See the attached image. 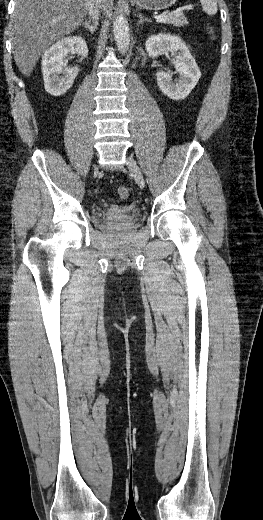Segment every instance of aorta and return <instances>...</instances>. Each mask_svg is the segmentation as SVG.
<instances>
[{"instance_id": "aorta-1", "label": "aorta", "mask_w": 263, "mask_h": 520, "mask_svg": "<svg viewBox=\"0 0 263 520\" xmlns=\"http://www.w3.org/2000/svg\"><path fill=\"white\" fill-rule=\"evenodd\" d=\"M114 39L121 54H125L130 45L129 26L126 18L123 15L116 17L113 24Z\"/></svg>"}]
</instances>
